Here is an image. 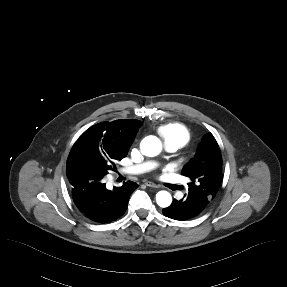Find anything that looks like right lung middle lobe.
<instances>
[{"mask_svg":"<svg viewBox=\"0 0 287 287\" xmlns=\"http://www.w3.org/2000/svg\"><path fill=\"white\" fill-rule=\"evenodd\" d=\"M124 157L108 148L91 144L79 137L68 156L66 174L69 177L80 170L91 169L106 175L108 171L114 170L115 163Z\"/></svg>","mask_w":287,"mask_h":287,"instance_id":"right-lung-middle-lobe-1","label":"right lung middle lobe"}]
</instances>
